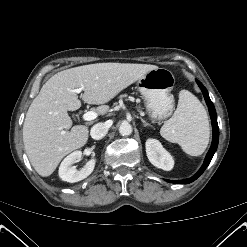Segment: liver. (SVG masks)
Returning <instances> with one entry per match:
<instances>
[{"instance_id": "6515ba94", "label": "liver", "mask_w": 247, "mask_h": 247, "mask_svg": "<svg viewBox=\"0 0 247 247\" xmlns=\"http://www.w3.org/2000/svg\"><path fill=\"white\" fill-rule=\"evenodd\" d=\"M157 68L147 64L96 63L63 70L48 79L32 101L23 125L24 148L35 171L42 177L50 176L67 154L88 140V127H72L68 115V111L81 107L73 90L81 88L82 100L100 105L97 113L105 115L109 111L106 103Z\"/></svg>"}]
</instances>
